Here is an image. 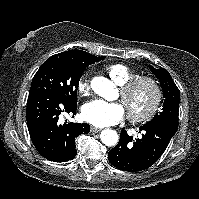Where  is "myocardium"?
Listing matches in <instances>:
<instances>
[{"instance_id": "1", "label": "myocardium", "mask_w": 199, "mask_h": 199, "mask_svg": "<svg viewBox=\"0 0 199 199\" xmlns=\"http://www.w3.org/2000/svg\"><path fill=\"white\" fill-rule=\"evenodd\" d=\"M141 85H147L152 92L148 107L141 113H134L127 109L128 118L133 123H141L150 120L157 112L162 100V89L159 82L152 76H135L121 85L120 94L123 103L127 97Z\"/></svg>"}]
</instances>
